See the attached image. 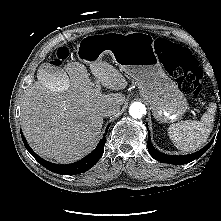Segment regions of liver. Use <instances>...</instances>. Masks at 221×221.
Listing matches in <instances>:
<instances>
[{"mask_svg": "<svg viewBox=\"0 0 221 221\" xmlns=\"http://www.w3.org/2000/svg\"><path fill=\"white\" fill-rule=\"evenodd\" d=\"M42 64L38 81L24 92L21 125L31 147L42 157L58 163H72L96 145L103 124L102 109L122 105L125 95L103 94L93 83L88 70L70 62L61 75ZM96 83L112 90L125 89L127 81L102 59L90 65Z\"/></svg>", "mask_w": 221, "mask_h": 221, "instance_id": "6515ba94", "label": "liver"}]
</instances>
